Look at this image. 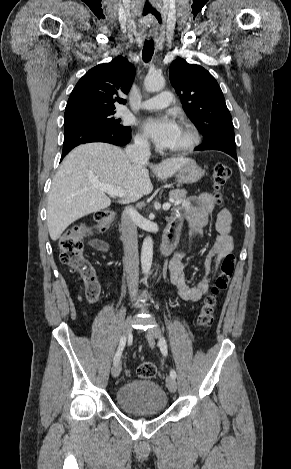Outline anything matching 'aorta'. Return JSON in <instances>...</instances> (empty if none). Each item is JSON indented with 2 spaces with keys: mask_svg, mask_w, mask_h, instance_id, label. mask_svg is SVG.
<instances>
[{
  "mask_svg": "<svg viewBox=\"0 0 291 469\" xmlns=\"http://www.w3.org/2000/svg\"><path fill=\"white\" fill-rule=\"evenodd\" d=\"M165 86V79L162 75L149 74L144 81V87L148 92H157ZM153 259V241L147 236L142 245L141 250V266L144 274L147 276L150 272Z\"/></svg>",
  "mask_w": 291,
  "mask_h": 469,
  "instance_id": "1",
  "label": "aorta"
}]
</instances>
